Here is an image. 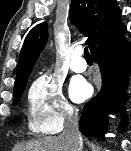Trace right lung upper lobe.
<instances>
[{
  "label": "right lung upper lobe",
  "instance_id": "obj_1",
  "mask_svg": "<svg viewBox=\"0 0 131 151\" xmlns=\"http://www.w3.org/2000/svg\"><path fill=\"white\" fill-rule=\"evenodd\" d=\"M116 0H71L69 18L81 33L88 37L92 52L117 36L126 26ZM48 38L47 23L33 27L24 40L17 66L14 90L27 84V79Z\"/></svg>",
  "mask_w": 131,
  "mask_h": 151
}]
</instances>
